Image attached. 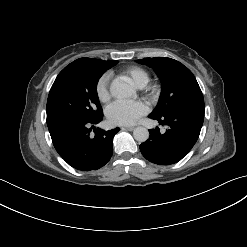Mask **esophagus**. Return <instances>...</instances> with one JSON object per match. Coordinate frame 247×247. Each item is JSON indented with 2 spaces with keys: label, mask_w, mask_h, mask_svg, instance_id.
<instances>
[{
  "label": "esophagus",
  "mask_w": 247,
  "mask_h": 247,
  "mask_svg": "<svg viewBox=\"0 0 247 247\" xmlns=\"http://www.w3.org/2000/svg\"><path fill=\"white\" fill-rule=\"evenodd\" d=\"M123 130H128V131H133L135 129V127L133 126H125V127H122Z\"/></svg>",
  "instance_id": "34e87169"
}]
</instances>
